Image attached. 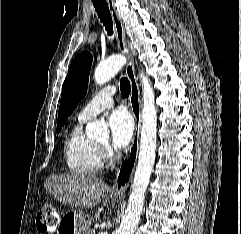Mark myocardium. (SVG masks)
<instances>
[{"label": "myocardium", "instance_id": "myocardium-1", "mask_svg": "<svg viewBox=\"0 0 241 234\" xmlns=\"http://www.w3.org/2000/svg\"><path fill=\"white\" fill-rule=\"evenodd\" d=\"M98 147H99V152L102 160H110V161L113 160L114 157L112 153L109 151L107 145L98 144Z\"/></svg>", "mask_w": 241, "mask_h": 234}]
</instances>
